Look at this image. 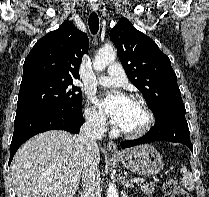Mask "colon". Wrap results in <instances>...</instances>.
Listing matches in <instances>:
<instances>
[{"label":"colon","mask_w":209,"mask_h":197,"mask_svg":"<svg viewBox=\"0 0 209 197\" xmlns=\"http://www.w3.org/2000/svg\"><path fill=\"white\" fill-rule=\"evenodd\" d=\"M163 190L168 197H189L187 192L180 188L174 179H168L163 186Z\"/></svg>","instance_id":"obj_1"}]
</instances>
